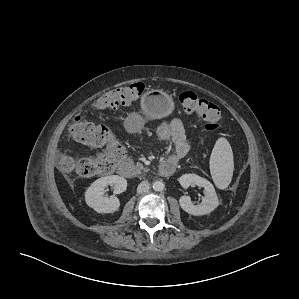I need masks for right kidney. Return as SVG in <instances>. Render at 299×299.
Instances as JSON below:
<instances>
[{
  "label": "right kidney",
  "instance_id": "obj_1",
  "mask_svg": "<svg viewBox=\"0 0 299 299\" xmlns=\"http://www.w3.org/2000/svg\"><path fill=\"white\" fill-rule=\"evenodd\" d=\"M108 185H114V194H120L126 190L127 180L118 175H110L97 179L87 188L86 204L98 213H113L120 207L119 199L115 195L104 197Z\"/></svg>",
  "mask_w": 299,
  "mask_h": 299
}]
</instances>
